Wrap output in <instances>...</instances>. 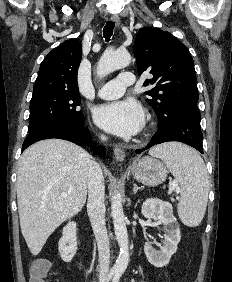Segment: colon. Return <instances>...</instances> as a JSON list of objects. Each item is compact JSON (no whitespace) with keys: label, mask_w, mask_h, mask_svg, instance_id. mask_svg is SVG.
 <instances>
[{"label":"colon","mask_w":232,"mask_h":282,"mask_svg":"<svg viewBox=\"0 0 232 282\" xmlns=\"http://www.w3.org/2000/svg\"><path fill=\"white\" fill-rule=\"evenodd\" d=\"M50 264L47 260L39 259L35 261L31 267L30 282H49L48 275Z\"/></svg>","instance_id":"colon-1"}]
</instances>
